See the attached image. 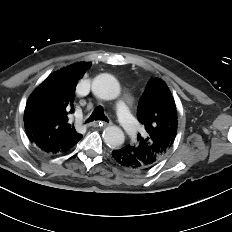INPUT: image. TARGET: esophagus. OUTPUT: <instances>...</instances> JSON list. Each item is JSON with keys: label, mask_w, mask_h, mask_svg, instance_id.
Here are the masks:
<instances>
[{"label": "esophagus", "mask_w": 232, "mask_h": 232, "mask_svg": "<svg viewBox=\"0 0 232 232\" xmlns=\"http://www.w3.org/2000/svg\"><path fill=\"white\" fill-rule=\"evenodd\" d=\"M90 126H94V127H107V126H110L111 123H107V122H104V121H95V122H92L91 124H89Z\"/></svg>", "instance_id": "1"}]
</instances>
